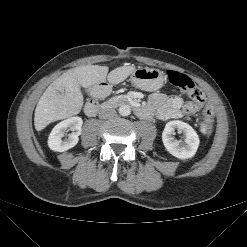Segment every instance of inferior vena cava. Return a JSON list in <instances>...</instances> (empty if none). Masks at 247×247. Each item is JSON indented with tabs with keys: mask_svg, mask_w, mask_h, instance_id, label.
Here are the masks:
<instances>
[{
	"mask_svg": "<svg viewBox=\"0 0 247 247\" xmlns=\"http://www.w3.org/2000/svg\"><path fill=\"white\" fill-rule=\"evenodd\" d=\"M116 115V110L113 108H103L99 112V118L107 119L112 118Z\"/></svg>",
	"mask_w": 247,
	"mask_h": 247,
	"instance_id": "602c4592",
	"label": "inferior vena cava"
}]
</instances>
